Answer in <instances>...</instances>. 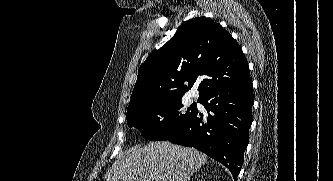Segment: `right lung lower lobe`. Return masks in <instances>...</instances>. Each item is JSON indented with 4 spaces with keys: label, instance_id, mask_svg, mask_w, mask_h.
Listing matches in <instances>:
<instances>
[{
    "label": "right lung lower lobe",
    "instance_id": "1",
    "mask_svg": "<svg viewBox=\"0 0 333 181\" xmlns=\"http://www.w3.org/2000/svg\"><path fill=\"white\" fill-rule=\"evenodd\" d=\"M252 79L216 89L199 99L208 116L195 114L168 138L172 143L194 147L225 165L234 180L241 170L249 141L254 103Z\"/></svg>",
    "mask_w": 333,
    "mask_h": 181
}]
</instances>
